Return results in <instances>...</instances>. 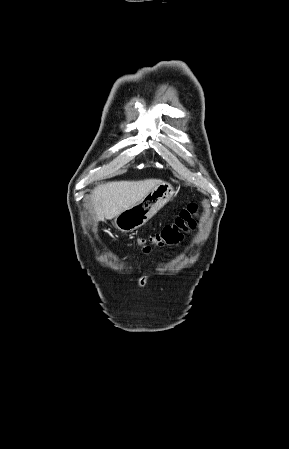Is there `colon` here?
<instances>
[{"label": "colon", "instance_id": "1", "mask_svg": "<svg viewBox=\"0 0 289 449\" xmlns=\"http://www.w3.org/2000/svg\"><path fill=\"white\" fill-rule=\"evenodd\" d=\"M197 205L190 204L183 209L175 221L153 235L138 239V244L144 252L152 247L173 245L182 240L183 234L196 226Z\"/></svg>", "mask_w": 289, "mask_h": 449}]
</instances>
